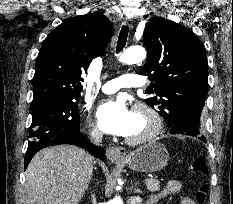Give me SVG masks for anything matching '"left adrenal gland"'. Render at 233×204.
<instances>
[{
    "mask_svg": "<svg viewBox=\"0 0 233 204\" xmlns=\"http://www.w3.org/2000/svg\"><path fill=\"white\" fill-rule=\"evenodd\" d=\"M134 193L143 194V191H141V190H140V189H138V188H135V189H134Z\"/></svg>",
    "mask_w": 233,
    "mask_h": 204,
    "instance_id": "obj_1",
    "label": "left adrenal gland"
}]
</instances>
